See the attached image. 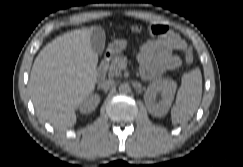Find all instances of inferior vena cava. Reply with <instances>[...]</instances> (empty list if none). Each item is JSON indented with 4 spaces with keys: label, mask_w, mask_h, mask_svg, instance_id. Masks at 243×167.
I'll return each instance as SVG.
<instances>
[{
    "label": "inferior vena cava",
    "mask_w": 243,
    "mask_h": 167,
    "mask_svg": "<svg viewBox=\"0 0 243 167\" xmlns=\"http://www.w3.org/2000/svg\"><path fill=\"white\" fill-rule=\"evenodd\" d=\"M113 83H114V80L109 79V80L103 81L102 84H101V86L104 87V88H108V87H110Z\"/></svg>",
    "instance_id": "inferior-vena-cava-1"
}]
</instances>
